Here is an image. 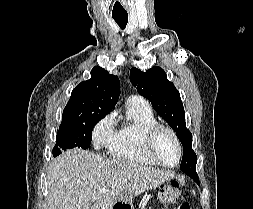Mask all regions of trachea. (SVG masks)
Instances as JSON below:
<instances>
[{
  "label": "trachea",
  "mask_w": 253,
  "mask_h": 209,
  "mask_svg": "<svg viewBox=\"0 0 253 209\" xmlns=\"http://www.w3.org/2000/svg\"><path fill=\"white\" fill-rule=\"evenodd\" d=\"M113 19L116 21V23L120 26L121 29H124L128 22V15L113 16Z\"/></svg>",
  "instance_id": "3493384b"
}]
</instances>
